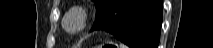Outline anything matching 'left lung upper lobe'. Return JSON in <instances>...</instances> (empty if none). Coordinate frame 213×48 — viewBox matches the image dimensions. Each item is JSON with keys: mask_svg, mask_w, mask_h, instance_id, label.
<instances>
[{"mask_svg": "<svg viewBox=\"0 0 213 48\" xmlns=\"http://www.w3.org/2000/svg\"><path fill=\"white\" fill-rule=\"evenodd\" d=\"M97 9L96 17L104 10L110 0H93Z\"/></svg>", "mask_w": 213, "mask_h": 48, "instance_id": "1", "label": "left lung upper lobe"}]
</instances>
